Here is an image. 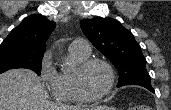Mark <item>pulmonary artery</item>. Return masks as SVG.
<instances>
[{
	"label": "pulmonary artery",
	"mask_w": 171,
	"mask_h": 110,
	"mask_svg": "<svg viewBox=\"0 0 171 110\" xmlns=\"http://www.w3.org/2000/svg\"><path fill=\"white\" fill-rule=\"evenodd\" d=\"M71 47L78 49L82 52L85 53H90L91 52V45L87 40L84 39H76L74 40L71 45Z\"/></svg>",
	"instance_id": "obj_1"
}]
</instances>
